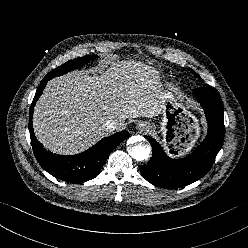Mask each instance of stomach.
I'll return each mask as SVG.
<instances>
[{
	"instance_id": "0dacf381",
	"label": "stomach",
	"mask_w": 248,
	"mask_h": 248,
	"mask_svg": "<svg viewBox=\"0 0 248 248\" xmlns=\"http://www.w3.org/2000/svg\"><path fill=\"white\" fill-rule=\"evenodd\" d=\"M163 114L159 132L170 154L184 156L193 147L200 135L198 120L188 108L173 95H167L162 102Z\"/></svg>"
}]
</instances>
